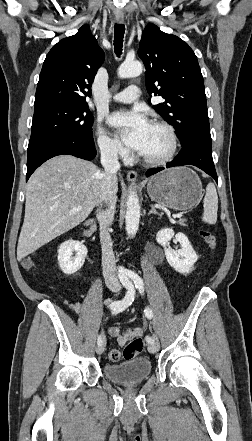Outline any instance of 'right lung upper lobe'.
Returning a JSON list of instances; mask_svg holds the SVG:
<instances>
[{"mask_svg":"<svg viewBox=\"0 0 252 441\" xmlns=\"http://www.w3.org/2000/svg\"><path fill=\"white\" fill-rule=\"evenodd\" d=\"M104 61L88 25L59 41L49 51L43 63L35 95L36 105L49 102L87 104L91 85Z\"/></svg>","mask_w":252,"mask_h":441,"instance_id":"1","label":"right lung upper lobe"}]
</instances>
